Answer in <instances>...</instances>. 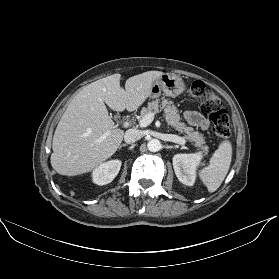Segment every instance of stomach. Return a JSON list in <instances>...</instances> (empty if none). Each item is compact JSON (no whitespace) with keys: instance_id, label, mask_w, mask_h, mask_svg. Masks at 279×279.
I'll list each match as a JSON object with an SVG mask.
<instances>
[{"instance_id":"1","label":"stomach","mask_w":279,"mask_h":279,"mask_svg":"<svg viewBox=\"0 0 279 279\" xmlns=\"http://www.w3.org/2000/svg\"><path fill=\"white\" fill-rule=\"evenodd\" d=\"M185 90L182 78L171 73L162 74L153 84L150 98H158L161 93L169 97H176Z\"/></svg>"}]
</instances>
